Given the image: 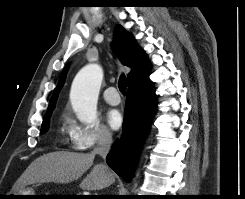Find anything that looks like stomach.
<instances>
[{"label":"stomach","mask_w":245,"mask_h":199,"mask_svg":"<svg viewBox=\"0 0 245 199\" xmlns=\"http://www.w3.org/2000/svg\"><path fill=\"white\" fill-rule=\"evenodd\" d=\"M9 195H12L11 196L12 199H33L35 198L33 196H13V195H36V194L31 189L20 188Z\"/></svg>","instance_id":"obj_1"}]
</instances>
